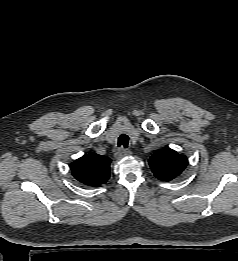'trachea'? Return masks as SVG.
Returning a JSON list of instances; mask_svg holds the SVG:
<instances>
[{
    "label": "trachea",
    "instance_id": "3493384b",
    "mask_svg": "<svg viewBox=\"0 0 238 261\" xmlns=\"http://www.w3.org/2000/svg\"><path fill=\"white\" fill-rule=\"evenodd\" d=\"M129 143V137L126 134H122L118 138V146H123L124 148H127Z\"/></svg>",
    "mask_w": 238,
    "mask_h": 261
}]
</instances>
